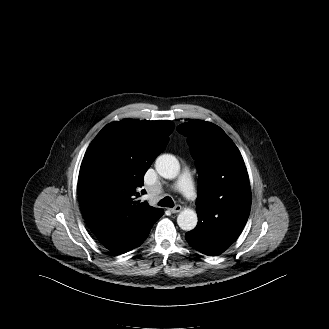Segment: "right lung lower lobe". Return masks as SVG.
Masks as SVG:
<instances>
[{
    "instance_id": "98d812e1",
    "label": "right lung lower lobe",
    "mask_w": 329,
    "mask_h": 329,
    "mask_svg": "<svg viewBox=\"0 0 329 329\" xmlns=\"http://www.w3.org/2000/svg\"><path fill=\"white\" fill-rule=\"evenodd\" d=\"M163 215V210L145 222L132 225H117L97 235L100 243L115 255L139 247L148 237L153 224Z\"/></svg>"
}]
</instances>
